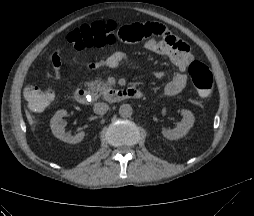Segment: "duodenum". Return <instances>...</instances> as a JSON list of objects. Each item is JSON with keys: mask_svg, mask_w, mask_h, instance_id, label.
Returning <instances> with one entry per match:
<instances>
[{"mask_svg": "<svg viewBox=\"0 0 254 216\" xmlns=\"http://www.w3.org/2000/svg\"><path fill=\"white\" fill-rule=\"evenodd\" d=\"M91 92L86 88H79L75 91V99L80 104H88L91 99ZM108 102H118L127 98H140L141 92L136 88L109 89L103 93Z\"/></svg>", "mask_w": 254, "mask_h": 216, "instance_id": "410a0bca", "label": "duodenum"}]
</instances>
